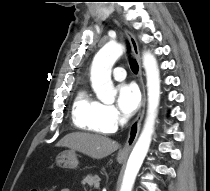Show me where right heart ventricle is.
I'll return each mask as SVG.
<instances>
[{
  "mask_svg": "<svg viewBox=\"0 0 210 191\" xmlns=\"http://www.w3.org/2000/svg\"><path fill=\"white\" fill-rule=\"evenodd\" d=\"M74 124L81 130L107 134L114 131V124L106 118V108L103 103L93 98L86 89H82L75 97L72 106Z\"/></svg>",
  "mask_w": 210,
  "mask_h": 191,
  "instance_id": "obj_1",
  "label": "right heart ventricle"
}]
</instances>
